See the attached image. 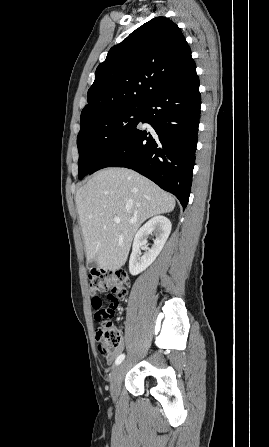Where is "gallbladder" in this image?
I'll return each mask as SVG.
<instances>
[{"label":"gallbladder","mask_w":269,"mask_h":447,"mask_svg":"<svg viewBox=\"0 0 269 447\" xmlns=\"http://www.w3.org/2000/svg\"><path fill=\"white\" fill-rule=\"evenodd\" d=\"M96 265V261H90V263H88L87 267H95Z\"/></svg>","instance_id":"bac80fb5"}]
</instances>
